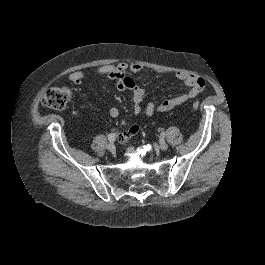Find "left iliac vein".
Instances as JSON below:
<instances>
[{"label": "left iliac vein", "mask_w": 265, "mask_h": 265, "mask_svg": "<svg viewBox=\"0 0 265 265\" xmlns=\"http://www.w3.org/2000/svg\"><path fill=\"white\" fill-rule=\"evenodd\" d=\"M159 148L163 151H166L168 149V145L162 141L160 144H159Z\"/></svg>", "instance_id": "left-iliac-vein-1"}]
</instances>
